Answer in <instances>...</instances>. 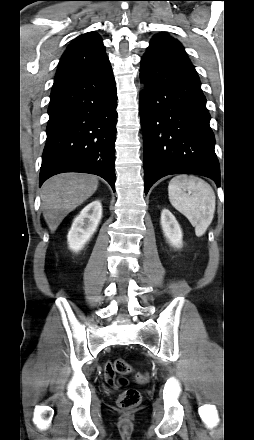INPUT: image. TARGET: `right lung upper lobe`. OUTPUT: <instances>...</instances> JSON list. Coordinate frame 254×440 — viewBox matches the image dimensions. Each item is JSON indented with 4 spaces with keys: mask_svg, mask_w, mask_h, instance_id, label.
<instances>
[{
    "mask_svg": "<svg viewBox=\"0 0 254 440\" xmlns=\"http://www.w3.org/2000/svg\"><path fill=\"white\" fill-rule=\"evenodd\" d=\"M104 48L102 39L95 32L78 36L62 55L54 82L98 69L109 63Z\"/></svg>",
    "mask_w": 254,
    "mask_h": 440,
    "instance_id": "obj_1",
    "label": "right lung upper lobe"
}]
</instances>
